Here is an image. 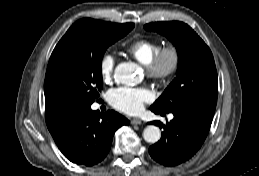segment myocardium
Here are the masks:
<instances>
[{"label":"myocardium","instance_id":"myocardium-1","mask_svg":"<svg viewBox=\"0 0 259 176\" xmlns=\"http://www.w3.org/2000/svg\"><path fill=\"white\" fill-rule=\"evenodd\" d=\"M181 64V55L175 45L161 47L153 59L145 65L149 78L161 83L171 81L177 74Z\"/></svg>","mask_w":259,"mask_h":176}]
</instances>
